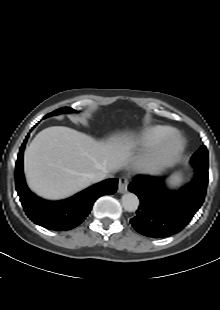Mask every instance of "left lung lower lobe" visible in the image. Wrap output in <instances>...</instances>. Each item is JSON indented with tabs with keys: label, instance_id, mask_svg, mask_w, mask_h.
<instances>
[{
	"label": "left lung lower lobe",
	"instance_id": "1",
	"mask_svg": "<svg viewBox=\"0 0 220 310\" xmlns=\"http://www.w3.org/2000/svg\"><path fill=\"white\" fill-rule=\"evenodd\" d=\"M208 170L195 168L192 181L180 189L169 190L165 177L138 175L128 186L140 199L137 214L130 222L148 237H167L180 232L204 202Z\"/></svg>",
	"mask_w": 220,
	"mask_h": 310
}]
</instances>
